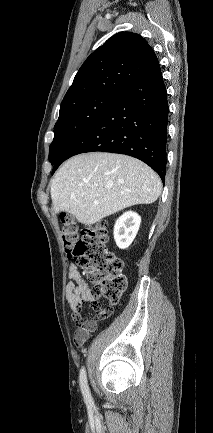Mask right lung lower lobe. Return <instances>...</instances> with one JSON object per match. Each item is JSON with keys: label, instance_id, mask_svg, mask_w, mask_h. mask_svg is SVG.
Returning a JSON list of instances; mask_svg holds the SVG:
<instances>
[{"label": "right lung lower lobe", "instance_id": "right-lung-lower-lobe-1", "mask_svg": "<svg viewBox=\"0 0 213 433\" xmlns=\"http://www.w3.org/2000/svg\"><path fill=\"white\" fill-rule=\"evenodd\" d=\"M167 92L159 62L82 131L53 163L93 151L121 153L152 167L164 182L168 124Z\"/></svg>", "mask_w": 213, "mask_h": 433}]
</instances>
